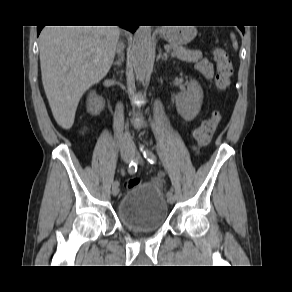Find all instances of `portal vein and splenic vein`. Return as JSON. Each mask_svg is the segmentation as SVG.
Here are the masks:
<instances>
[{
  "label": "portal vein and splenic vein",
  "mask_w": 292,
  "mask_h": 292,
  "mask_svg": "<svg viewBox=\"0 0 292 292\" xmlns=\"http://www.w3.org/2000/svg\"><path fill=\"white\" fill-rule=\"evenodd\" d=\"M171 55L173 56V55H175V53H174V52H172V53H171Z\"/></svg>",
  "instance_id": "18ae733b"
}]
</instances>
